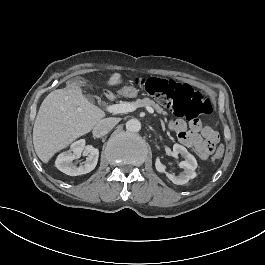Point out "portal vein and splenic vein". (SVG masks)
<instances>
[{
  "label": "portal vein and splenic vein",
  "instance_id": "obj_1",
  "mask_svg": "<svg viewBox=\"0 0 265 265\" xmlns=\"http://www.w3.org/2000/svg\"><path fill=\"white\" fill-rule=\"evenodd\" d=\"M136 106L129 102H122L120 104H113L107 107V111L110 113L118 114V113H128L136 110ZM149 113H153L154 110L151 107H146Z\"/></svg>",
  "mask_w": 265,
  "mask_h": 265
}]
</instances>
